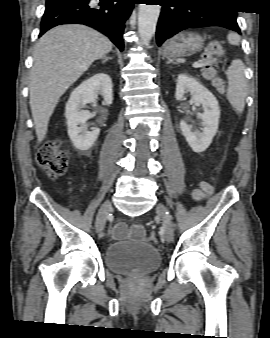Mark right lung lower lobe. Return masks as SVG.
Listing matches in <instances>:
<instances>
[{"label":"right lung lower lobe","mask_w":270,"mask_h":338,"mask_svg":"<svg viewBox=\"0 0 270 338\" xmlns=\"http://www.w3.org/2000/svg\"><path fill=\"white\" fill-rule=\"evenodd\" d=\"M135 0H47L39 36L61 24H84L108 36L123 51L124 22Z\"/></svg>","instance_id":"1"}]
</instances>
